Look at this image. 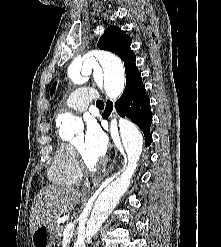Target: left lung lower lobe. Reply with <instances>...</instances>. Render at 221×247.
Masks as SVG:
<instances>
[{
  "instance_id": "0a47b994",
  "label": "left lung lower lobe",
  "mask_w": 221,
  "mask_h": 247,
  "mask_svg": "<svg viewBox=\"0 0 221 247\" xmlns=\"http://www.w3.org/2000/svg\"><path fill=\"white\" fill-rule=\"evenodd\" d=\"M116 110L121 117H128L142 130L145 136V143L149 146L152 142L150 126L152 123L151 107L149 97L143 83L134 81L115 103ZM113 104L107 101L104 117L108 118Z\"/></svg>"
}]
</instances>
